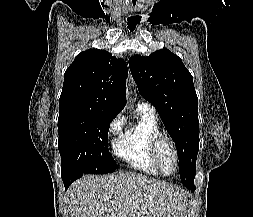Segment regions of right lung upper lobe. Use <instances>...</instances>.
Masks as SVG:
<instances>
[{"mask_svg":"<svg viewBox=\"0 0 253 217\" xmlns=\"http://www.w3.org/2000/svg\"><path fill=\"white\" fill-rule=\"evenodd\" d=\"M127 65L107 51L78 54L64 75L60 109L82 108L117 115L125 106Z\"/></svg>","mask_w":253,"mask_h":217,"instance_id":"cb5924a9","label":"right lung upper lobe"}]
</instances>
